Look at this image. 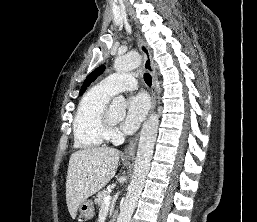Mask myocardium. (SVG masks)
<instances>
[{
    "instance_id": "obj_1",
    "label": "myocardium",
    "mask_w": 257,
    "mask_h": 222,
    "mask_svg": "<svg viewBox=\"0 0 257 222\" xmlns=\"http://www.w3.org/2000/svg\"><path fill=\"white\" fill-rule=\"evenodd\" d=\"M104 124L106 129L109 131H111L114 127H115V123L112 122L111 118H110V113L108 110L105 111L104 114Z\"/></svg>"
}]
</instances>
